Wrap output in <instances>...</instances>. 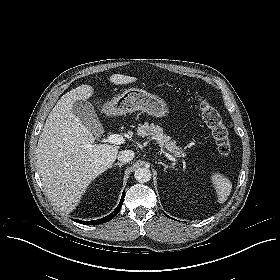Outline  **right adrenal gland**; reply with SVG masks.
<instances>
[{
  "label": "right adrenal gland",
  "mask_w": 280,
  "mask_h": 280,
  "mask_svg": "<svg viewBox=\"0 0 280 280\" xmlns=\"http://www.w3.org/2000/svg\"><path fill=\"white\" fill-rule=\"evenodd\" d=\"M117 165L121 168V166L124 165V163H121V162L114 163V164H113V167H114V166H117Z\"/></svg>",
  "instance_id": "1"
}]
</instances>
